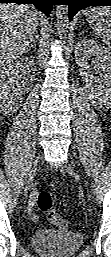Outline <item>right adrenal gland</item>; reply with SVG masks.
Instances as JSON below:
<instances>
[{
    "label": "right adrenal gland",
    "instance_id": "1",
    "mask_svg": "<svg viewBox=\"0 0 111 257\" xmlns=\"http://www.w3.org/2000/svg\"><path fill=\"white\" fill-rule=\"evenodd\" d=\"M37 39H38V36L35 35L33 40H32V43L31 45L26 49L25 53H29V51L31 50V48L35 49L36 50V43H37Z\"/></svg>",
    "mask_w": 111,
    "mask_h": 257
}]
</instances>
